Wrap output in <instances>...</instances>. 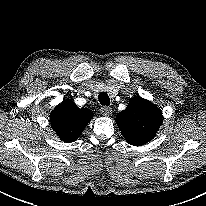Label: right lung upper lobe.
Listing matches in <instances>:
<instances>
[{
  "label": "right lung upper lobe",
  "instance_id": "right-lung-upper-lobe-1",
  "mask_svg": "<svg viewBox=\"0 0 206 206\" xmlns=\"http://www.w3.org/2000/svg\"><path fill=\"white\" fill-rule=\"evenodd\" d=\"M88 109L78 108L72 100H65L51 112V126L64 142L75 141L92 119Z\"/></svg>",
  "mask_w": 206,
  "mask_h": 206
}]
</instances>
